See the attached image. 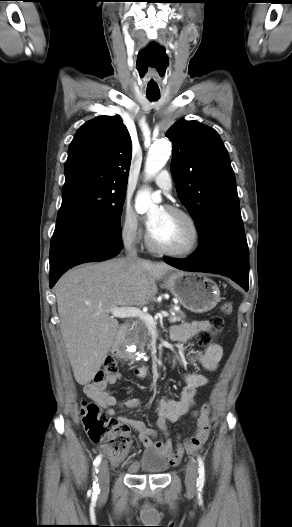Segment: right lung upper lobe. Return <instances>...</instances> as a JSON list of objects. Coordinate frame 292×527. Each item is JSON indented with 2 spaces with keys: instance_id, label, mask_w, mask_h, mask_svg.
<instances>
[{
  "instance_id": "1",
  "label": "right lung upper lobe",
  "mask_w": 292,
  "mask_h": 527,
  "mask_svg": "<svg viewBox=\"0 0 292 527\" xmlns=\"http://www.w3.org/2000/svg\"><path fill=\"white\" fill-rule=\"evenodd\" d=\"M132 143L118 116H99L76 132L65 163V184L87 182L125 189Z\"/></svg>"
}]
</instances>
